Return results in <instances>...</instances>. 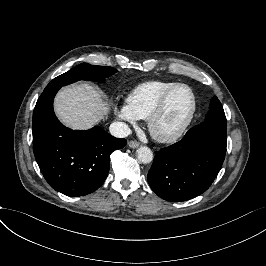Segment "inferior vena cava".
<instances>
[{"label":"inferior vena cava","instance_id":"1","mask_svg":"<svg viewBox=\"0 0 266 266\" xmlns=\"http://www.w3.org/2000/svg\"><path fill=\"white\" fill-rule=\"evenodd\" d=\"M109 131L112 136L117 138H125L129 136L132 131L124 122H113L110 124Z\"/></svg>","mask_w":266,"mask_h":266}]
</instances>
